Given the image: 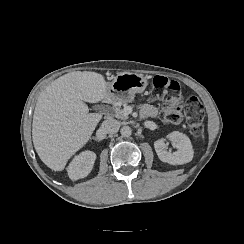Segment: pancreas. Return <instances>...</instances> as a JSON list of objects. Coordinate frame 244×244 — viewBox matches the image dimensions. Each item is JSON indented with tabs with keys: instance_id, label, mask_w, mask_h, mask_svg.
I'll use <instances>...</instances> for the list:
<instances>
[{
	"instance_id": "cf45deb5",
	"label": "pancreas",
	"mask_w": 244,
	"mask_h": 244,
	"mask_svg": "<svg viewBox=\"0 0 244 244\" xmlns=\"http://www.w3.org/2000/svg\"><path fill=\"white\" fill-rule=\"evenodd\" d=\"M120 103H126V102H122V101H120ZM122 111H123V110L120 109V107L118 106V107H116V108L114 109V113H113L112 115L115 116V117L118 118V119H121V120H126V119H128V115H125Z\"/></svg>"
}]
</instances>
